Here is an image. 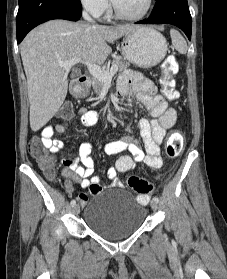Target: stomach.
I'll list each match as a JSON object with an SVG mask.
<instances>
[{"label": "stomach", "mask_w": 227, "mask_h": 279, "mask_svg": "<svg viewBox=\"0 0 227 279\" xmlns=\"http://www.w3.org/2000/svg\"><path fill=\"white\" fill-rule=\"evenodd\" d=\"M123 56L141 68H151L160 63L167 52L165 37L150 27H137L123 38Z\"/></svg>", "instance_id": "1"}]
</instances>
